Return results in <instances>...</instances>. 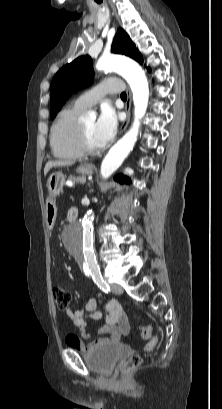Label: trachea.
Returning a JSON list of instances; mask_svg holds the SVG:
<instances>
[{"mask_svg":"<svg viewBox=\"0 0 222 409\" xmlns=\"http://www.w3.org/2000/svg\"><path fill=\"white\" fill-rule=\"evenodd\" d=\"M121 98H122V99H127V95H126L125 92L121 93Z\"/></svg>","mask_w":222,"mask_h":409,"instance_id":"trachea-1","label":"trachea"}]
</instances>
